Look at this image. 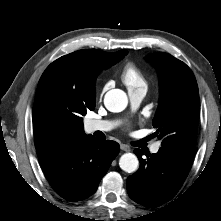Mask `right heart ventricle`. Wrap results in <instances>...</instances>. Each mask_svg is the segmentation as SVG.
<instances>
[{"label":"right heart ventricle","mask_w":221,"mask_h":221,"mask_svg":"<svg viewBox=\"0 0 221 221\" xmlns=\"http://www.w3.org/2000/svg\"><path fill=\"white\" fill-rule=\"evenodd\" d=\"M121 79L128 87V90L147 88V81L144 74L134 63H127L124 66L121 72Z\"/></svg>","instance_id":"obj_1"}]
</instances>
